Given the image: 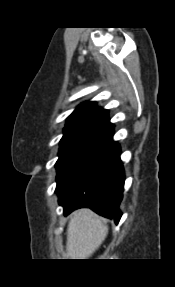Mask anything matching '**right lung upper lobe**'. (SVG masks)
<instances>
[{
  "instance_id": "right-lung-upper-lobe-1",
  "label": "right lung upper lobe",
  "mask_w": 175,
  "mask_h": 287,
  "mask_svg": "<svg viewBox=\"0 0 175 287\" xmlns=\"http://www.w3.org/2000/svg\"><path fill=\"white\" fill-rule=\"evenodd\" d=\"M88 126L113 127V124L110 123L107 110L97 107L95 102H84L67 118L64 130Z\"/></svg>"
}]
</instances>
